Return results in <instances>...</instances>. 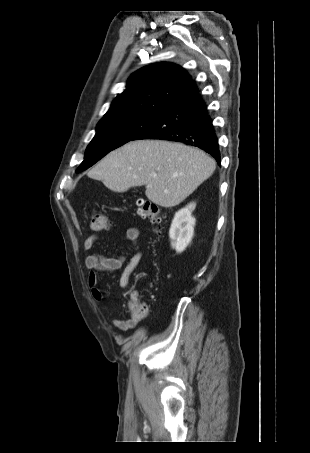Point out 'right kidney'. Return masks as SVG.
<instances>
[{"label":"right kidney","mask_w":310,"mask_h":453,"mask_svg":"<svg viewBox=\"0 0 310 453\" xmlns=\"http://www.w3.org/2000/svg\"><path fill=\"white\" fill-rule=\"evenodd\" d=\"M195 206V203H190L176 212L172 220L169 237L172 248L178 253L183 252L193 238L196 219L191 214Z\"/></svg>","instance_id":"ca27d5eb"}]
</instances>
